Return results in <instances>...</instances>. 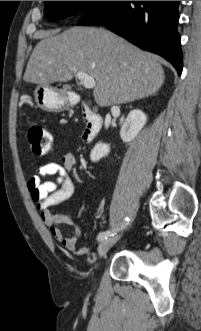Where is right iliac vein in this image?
<instances>
[{
    "label": "right iliac vein",
    "instance_id": "obj_1",
    "mask_svg": "<svg viewBox=\"0 0 201 331\" xmlns=\"http://www.w3.org/2000/svg\"><path fill=\"white\" fill-rule=\"evenodd\" d=\"M119 238L120 236H112L103 240L98 247L99 257H104L109 249L119 240Z\"/></svg>",
    "mask_w": 201,
    "mask_h": 331
}]
</instances>
